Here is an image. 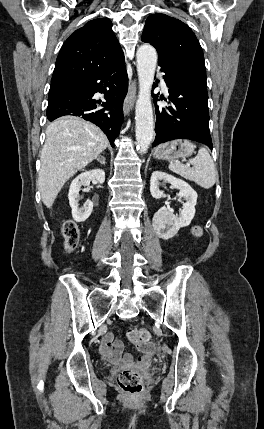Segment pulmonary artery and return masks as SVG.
<instances>
[{"instance_id":"obj_1","label":"pulmonary artery","mask_w":264,"mask_h":429,"mask_svg":"<svg viewBox=\"0 0 264 429\" xmlns=\"http://www.w3.org/2000/svg\"><path fill=\"white\" fill-rule=\"evenodd\" d=\"M161 87L164 92H167V86L165 81L161 78Z\"/></svg>"}]
</instances>
